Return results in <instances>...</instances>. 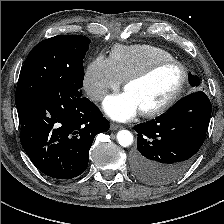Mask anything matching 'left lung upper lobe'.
Wrapping results in <instances>:
<instances>
[{"label":"left lung upper lobe","instance_id":"obj_1","mask_svg":"<svg viewBox=\"0 0 224 224\" xmlns=\"http://www.w3.org/2000/svg\"><path fill=\"white\" fill-rule=\"evenodd\" d=\"M189 83L193 87L194 90H198L200 85V80L198 76H193L191 73L189 74Z\"/></svg>","mask_w":224,"mask_h":224}]
</instances>
